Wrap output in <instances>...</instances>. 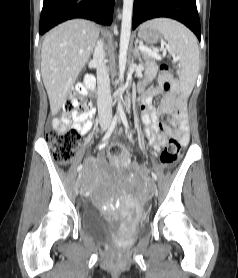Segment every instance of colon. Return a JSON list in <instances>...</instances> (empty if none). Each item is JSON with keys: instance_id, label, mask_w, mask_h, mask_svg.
<instances>
[{"instance_id": "5ec220e1", "label": "colon", "mask_w": 238, "mask_h": 278, "mask_svg": "<svg viewBox=\"0 0 238 278\" xmlns=\"http://www.w3.org/2000/svg\"><path fill=\"white\" fill-rule=\"evenodd\" d=\"M163 88L169 91L174 82V74L170 67L166 64L160 67ZM65 112L88 113L92 110V104L87 97V92L83 84L79 83L74 86L67 100L63 105ZM46 139L52 148L54 159L60 164H68L73 158L75 148L79 142V132L73 128L65 129L51 128L46 133ZM108 155L111 159L120 162L127 153L119 145H113L108 150ZM183 155L182 145L171 135L168 143L164 147L160 160L162 165L169 166L177 162Z\"/></svg>"}]
</instances>
